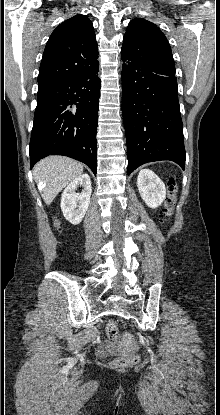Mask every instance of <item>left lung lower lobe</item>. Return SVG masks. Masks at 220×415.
<instances>
[{"label": "left lung lower lobe", "mask_w": 220, "mask_h": 415, "mask_svg": "<svg viewBox=\"0 0 220 415\" xmlns=\"http://www.w3.org/2000/svg\"><path fill=\"white\" fill-rule=\"evenodd\" d=\"M122 110L128 175L144 163L160 160L174 161L184 169L183 125L175 73L125 61Z\"/></svg>", "instance_id": "left-lung-lower-lobe-1"}]
</instances>
